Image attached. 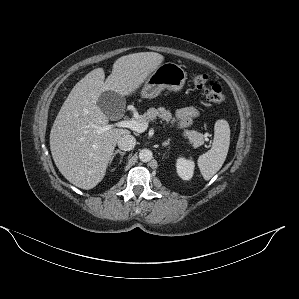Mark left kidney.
I'll use <instances>...</instances> for the list:
<instances>
[{"label": "left kidney", "instance_id": "left-kidney-1", "mask_svg": "<svg viewBox=\"0 0 299 299\" xmlns=\"http://www.w3.org/2000/svg\"><path fill=\"white\" fill-rule=\"evenodd\" d=\"M177 173L183 180H189L194 173V161L191 159L179 158L176 163Z\"/></svg>", "mask_w": 299, "mask_h": 299}]
</instances>
